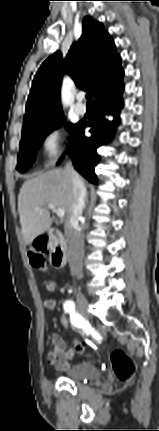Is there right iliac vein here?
I'll return each mask as SVG.
<instances>
[{
	"mask_svg": "<svg viewBox=\"0 0 159 431\" xmlns=\"http://www.w3.org/2000/svg\"><path fill=\"white\" fill-rule=\"evenodd\" d=\"M77 304L82 311L86 312L88 310L89 302L82 293L77 294Z\"/></svg>",
	"mask_w": 159,
	"mask_h": 431,
	"instance_id": "obj_1",
	"label": "right iliac vein"
}]
</instances>
